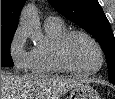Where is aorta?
Masks as SVG:
<instances>
[{"label": "aorta", "instance_id": "1", "mask_svg": "<svg viewBox=\"0 0 115 99\" xmlns=\"http://www.w3.org/2000/svg\"><path fill=\"white\" fill-rule=\"evenodd\" d=\"M21 27L27 31L33 40L41 38L40 23L33 6L29 5L22 13L20 20Z\"/></svg>", "mask_w": 115, "mask_h": 99}]
</instances>
